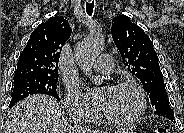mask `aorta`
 <instances>
[{
    "mask_svg": "<svg viewBox=\"0 0 184 133\" xmlns=\"http://www.w3.org/2000/svg\"><path fill=\"white\" fill-rule=\"evenodd\" d=\"M104 49V38L100 34H90L80 41L75 47V57L80 69L86 73L95 85H100L103 79L92 76V66L95 59Z\"/></svg>",
    "mask_w": 184,
    "mask_h": 133,
    "instance_id": "obj_1",
    "label": "aorta"
}]
</instances>
